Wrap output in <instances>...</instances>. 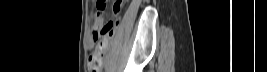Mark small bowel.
Returning a JSON list of instances; mask_svg holds the SVG:
<instances>
[{"mask_svg":"<svg viewBox=\"0 0 267 72\" xmlns=\"http://www.w3.org/2000/svg\"><path fill=\"white\" fill-rule=\"evenodd\" d=\"M123 6V1H118L115 3L113 7V15L114 19L110 22L118 21V16L121 13ZM117 8V10H115ZM109 23V22H108ZM107 23V24H108ZM103 24V18L101 16H96L94 20V30L92 32L91 38H90V46L93 45V43L100 37L104 36L103 42L105 45H109L111 43L112 36L105 35V33L102 31V29L107 25ZM94 33L97 34V37L94 36Z\"/></svg>","mask_w":267,"mask_h":72,"instance_id":"small-bowel-1","label":"small bowel"}]
</instances>
